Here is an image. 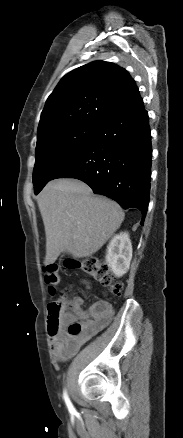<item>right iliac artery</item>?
<instances>
[{
    "mask_svg": "<svg viewBox=\"0 0 183 438\" xmlns=\"http://www.w3.org/2000/svg\"><path fill=\"white\" fill-rule=\"evenodd\" d=\"M64 400H65V402H66V405H67L69 411H71V412L74 411V407H73V405H72L70 399L68 398V395H67L66 392H64Z\"/></svg>",
    "mask_w": 183,
    "mask_h": 438,
    "instance_id": "obj_1",
    "label": "right iliac artery"
}]
</instances>
